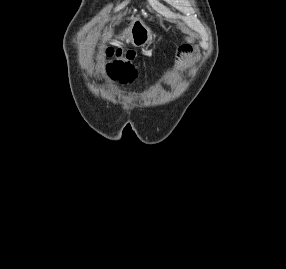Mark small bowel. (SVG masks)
<instances>
[{"mask_svg": "<svg viewBox=\"0 0 286 269\" xmlns=\"http://www.w3.org/2000/svg\"><path fill=\"white\" fill-rule=\"evenodd\" d=\"M193 54V48L191 45H184L182 46L176 55V59H175V66L178 70L182 69L187 60L192 56Z\"/></svg>", "mask_w": 286, "mask_h": 269, "instance_id": "c3829d8e", "label": "small bowel"}]
</instances>
